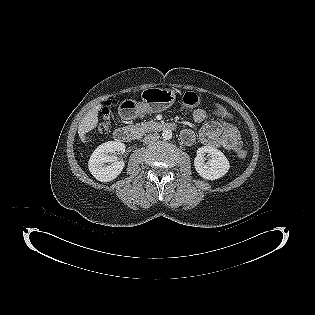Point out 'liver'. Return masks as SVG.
<instances>
[{"instance_id":"6515ba94","label":"liver","mask_w":315,"mask_h":315,"mask_svg":"<svg viewBox=\"0 0 315 315\" xmlns=\"http://www.w3.org/2000/svg\"><path fill=\"white\" fill-rule=\"evenodd\" d=\"M100 109H101V105L100 104L96 105L95 107L90 109L80 121V124L78 127V133L83 143L86 142L85 134L90 132L97 126L98 113Z\"/></svg>"}]
</instances>
